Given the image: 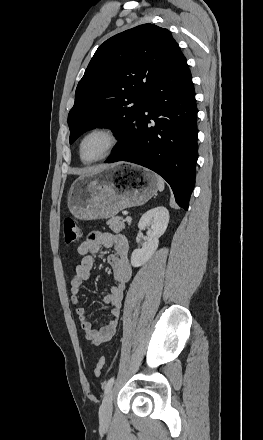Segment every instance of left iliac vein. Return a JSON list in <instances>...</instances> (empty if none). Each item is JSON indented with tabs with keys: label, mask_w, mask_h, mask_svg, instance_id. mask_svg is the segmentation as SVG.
<instances>
[{
	"label": "left iliac vein",
	"mask_w": 263,
	"mask_h": 440,
	"mask_svg": "<svg viewBox=\"0 0 263 440\" xmlns=\"http://www.w3.org/2000/svg\"><path fill=\"white\" fill-rule=\"evenodd\" d=\"M113 396H114V389H111L103 399L99 412L100 421L102 423H107L111 420Z\"/></svg>",
	"instance_id": "obj_1"
}]
</instances>
